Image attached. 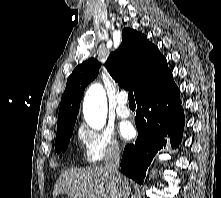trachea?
Returning a JSON list of instances; mask_svg holds the SVG:
<instances>
[{
    "label": "trachea",
    "instance_id": "obj_1",
    "mask_svg": "<svg viewBox=\"0 0 221 198\" xmlns=\"http://www.w3.org/2000/svg\"><path fill=\"white\" fill-rule=\"evenodd\" d=\"M129 104H135L133 92L128 93Z\"/></svg>",
    "mask_w": 221,
    "mask_h": 198
}]
</instances>
